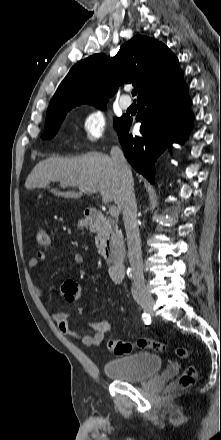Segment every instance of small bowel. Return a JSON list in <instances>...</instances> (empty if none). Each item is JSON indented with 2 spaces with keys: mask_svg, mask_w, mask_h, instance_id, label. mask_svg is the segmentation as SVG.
Segmentation results:
<instances>
[{
  "mask_svg": "<svg viewBox=\"0 0 221 440\" xmlns=\"http://www.w3.org/2000/svg\"><path fill=\"white\" fill-rule=\"evenodd\" d=\"M45 259V252L40 251L29 261V269L36 273L34 276L35 289L40 296H43L44 289L40 276L37 274V272L41 268ZM70 261L73 264L80 265L83 263V257L80 254H72L70 256ZM69 317L70 314L68 312H51L52 320L57 324L58 329L62 333L69 337L78 339L86 346L95 347L100 345L104 340L106 333H108L111 329V325L108 321H96L89 323L90 328L94 331L93 334H81L70 325Z\"/></svg>",
  "mask_w": 221,
  "mask_h": 440,
  "instance_id": "obj_1",
  "label": "small bowel"
}]
</instances>
